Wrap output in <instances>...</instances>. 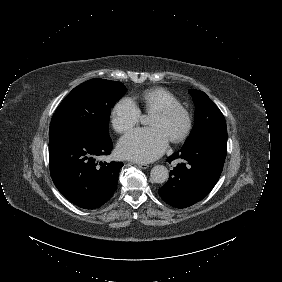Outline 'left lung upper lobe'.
<instances>
[{"instance_id":"obj_1","label":"left lung upper lobe","mask_w":282,"mask_h":282,"mask_svg":"<svg viewBox=\"0 0 282 282\" xmlns=\"http://www.w3.org/2000/svg\"><path fill=\"white\" fill-rule=\"evenodd\" d=\"M196 107L194 127L185 144L199 137L202 133L218 128H226L223 114L213 101L202 91L191 90Z\"/></svg>"}]
</instances>
